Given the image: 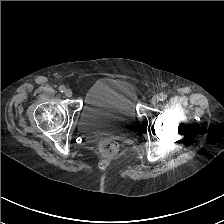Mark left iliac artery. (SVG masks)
I'll use <instances>...</instances> for the list:
<instances>
[{
	"label": "left iliac artery",
	"instance_id": "obj_1",
	"mask_svg": "<svg viewBox=\"0 0 224 224\" xmlns=\"http://www.w3.org/2000/svg\"><path fill=\"white\" fill-rule=\"evenodd\" d=\"M166 99V95L165 94H160V96H159V100L160 101H164Z\"/></svg>",
	"mask_w": 224,
	"mask_h": 224
}]
</instances>
